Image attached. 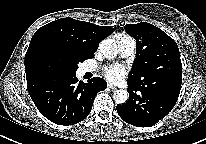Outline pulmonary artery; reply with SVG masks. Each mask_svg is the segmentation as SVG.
<instances>
[{"instance_id": "1", "label": "pulmonary artery", "mask_w": 206, "mask_h": 144, "mask_svg": "<svg viewBox=\"0 0 206 144\" xmlns=\"http://www.w3.org/2000/svg\"><path fill=\"white\" fill-rule=\"evenodd\" d=\"M136 49V41L129 37V36H123L119 39V50L120 54L123 57H130L134 54ZM94 71V67L91 66H85L83 68V72H92Z\"/></svg>"}]
</instances>
